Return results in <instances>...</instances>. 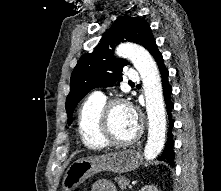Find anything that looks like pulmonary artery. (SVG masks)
<instances>
[{"label":"pulmonary artery","instance_id":"1","mask_svg":"<svg viewBox=\"0 0 221 191\" xmlns=\"http://www.w3.org/2000/svg\"><path fill=\"white\" fill-rule=\"evenodd\" d=\"M126 78L130 81H138L139 80V73L134 70H129L126 73ZM93 95L96 97L104 98V95L101 92H95Z\"/></svg>","mask_w":221,"mask_h":191}]
</instances>
